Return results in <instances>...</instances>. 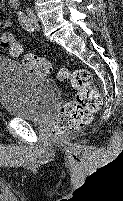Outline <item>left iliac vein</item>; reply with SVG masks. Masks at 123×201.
<instances>
[{"instance_id": "1", "label": "left iliac vein", "mask_w": 123, "mask_h": 201, "mask_svg": "<svg viewBox=\"0 0 123 201\" xmlns=\"http://www.w3.org/2000/svg\"><path fill=\"white\" fill-rule=\"evenodd\" d=\"M29 21H30L31 28L33 30L38 29V27H39L38 20H37L35 14H33L32 12L29 13Z\"/></svg>"}]
</instances>
